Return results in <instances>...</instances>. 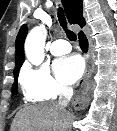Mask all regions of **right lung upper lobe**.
Listing matches in <instances>:
<instances>
[{
  "instance_id": "cb5924a9",
  "label": "right lung upper lobe",
  "mask_w": 117,
  "mask_h": 131,
  "mask_svg": "<svg viewBox=\"0 0 117 131\" xmlns=\"http://www.w3.org/2000/svg\"><path fill=\"white\" fill-rule=\"evenodd\" d=\"M65 7L66 13L68 15L69 21L72 24H78L81 27L85 25V20L83 18V2L82 0H62ZM27 35V27L23 25L16 38V54H15V68L14 76L19 74L21 65L24 62V41Z\"/></svg>"
}]
</instances>
